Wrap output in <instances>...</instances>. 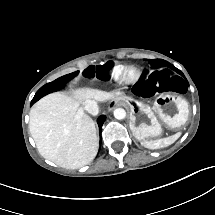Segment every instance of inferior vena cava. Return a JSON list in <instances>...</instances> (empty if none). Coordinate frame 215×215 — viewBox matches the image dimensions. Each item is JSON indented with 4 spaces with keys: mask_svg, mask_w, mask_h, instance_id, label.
Masks as SVG:
<instances>
[{
    "mask_svg": "<svg viewBox=\"0 0 215 215\" xmlns=\"http://www.w3.org/2000/svg\"><path fill=\"white\" fill-rule=\"evenodd\" d=\"M84 110L90 114L96 115L98 113V107L96 102L92 100L87 101Z\"/></svg>",
    "mask_w": 215,
    "mask_h": 215,
    "instance_id": "1",
    "label": "inferior vena cava"
}]
</instances>
